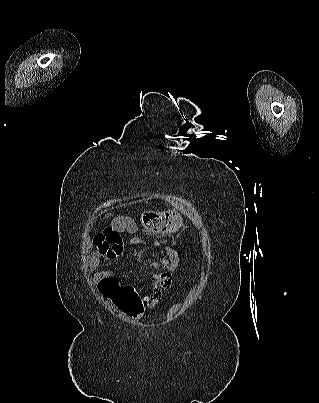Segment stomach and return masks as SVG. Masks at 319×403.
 <instances>
[{
    "mask_svg": "<svg viewBox=\"0 0 319 403\" xmlns=\"http://www.w3.org/2000/svg\"><path fill=\"white\" fill-rule=\"evenodd\" d=\"M140 218L142 228H146L149 234L175 233L183 224L181 215L176 211L151 212L150 210H141Z\"/></svg>",
    "mask_w": 319,
    "mask_h": 403,
    "instance_id": "1",
    "label": "stomach"
}]
</instances>
